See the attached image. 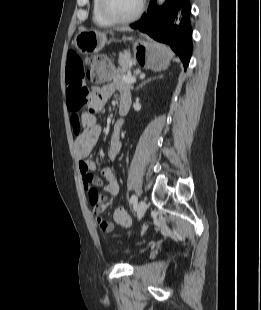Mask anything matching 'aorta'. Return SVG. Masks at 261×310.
I'll list each match as a JSON object with an SVG mask.
<instances>
[{
    "label": "aorta",
    "mask_w": 261,
    "mask_h": 310,
    "mask_svg": "<svg viewBox=\"0 0 261 310\" xmlns=\"http://www.w3.org/2000/svg\"><path fill=\"white\" fill-rule=\"evenodd\" d=\"M157 2L159 5H162L165 2V0H157Z\"/></svg>",
    "instance_id": "1"
}]
</instances>
